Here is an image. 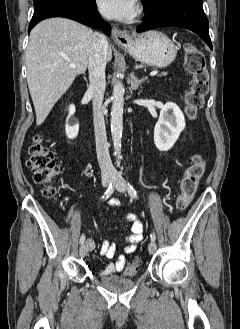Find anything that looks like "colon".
Segmentation results:
<instances>
[{
	"instance_id": "5ec220e1",
	"label": "colon",
	"mask_w": 240,
	"mask_h": 329,
	"mask_svg": "<svg viewBox=\"0 0 240 329\" xmlns=\"http://www.w3.org/2000/svg\"><path fill=\"white\" fill-rule=\"evenodd\" d=\"M184 68L191 75L189 88L185 93L186 113L193 119L204 105L208 93L209 74L203 53L191 44H187L184 48ZM29 153L28 166L33 173L35 183L43 186V194L46 197L55 198L57 192L55 180L60 167L54 159L51 148L43 142L40 135H36ZM204 171L203 158L199 154H194L180 183V193L176 200V207L179 210L186 209L190 204ZM138 269V262L132 261L127 265L125 272L127 275H134Z\"/></svg>"
}]
</instances>
